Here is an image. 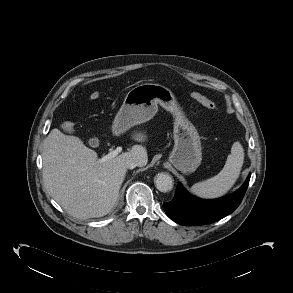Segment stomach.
<instances>
[{
	"label": "stomach",
	"mask_w": 293,
	"mask_h": 293,
	"mask_svg": "<svg viewBox=\"0 0 293 293\" xmlns=\"http://www.w3.org/2000/svg\"><path fill=\"white\" fill-rule=\"evenodd\" d=\"M158 104L174 117V148L169 161L182 173L194 172L202 161L200 136L173 92L165 86L145 83L132 88L114 119L113 133L119 135L135 125L149 121L157 113Z\"/></svg>",
	"instance_id": "stomach-1"
}]
</instances>
